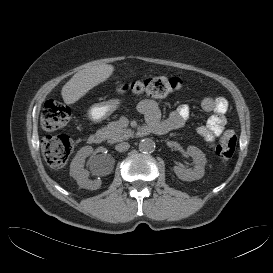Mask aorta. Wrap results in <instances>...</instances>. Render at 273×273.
Returning a JSON list of instances; mask_svg holds the SVG:
<instances>
[{"label": "aorta", "mask_w": 273, "mask_h": 273, "mask_svg": "<svg viewBox=\"0 0 273 273\" xmlns=\"http://www.w3.org/2000/svg\"><path fill=\"white\" fill-rule=\"evenodd\" d=\"M155 147V142L150 138H144L139 143V150L143 153H152Z\"/></svg>", "instance_id": "aorta-1"}]
</instances>
